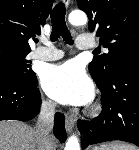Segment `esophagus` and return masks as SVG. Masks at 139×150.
<instances>
[{"mask_svg":"<svg viewBox=\"0 0 139 150\" xmlns=\"http://www.w3.org/2000/svg\"><path fill=\"white\" fill-rule=\"evenodd\" d=\"M65 7H68L70 4V0H62ZM77 118L74 115H69L65 120V128L68 133H70L75 125Z\"/></svg>","mask_w":139,"mask_h":150,"instance_id":"esophagus-1","label":"esophagus"}]
</instances>
